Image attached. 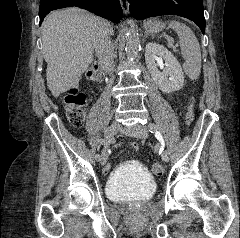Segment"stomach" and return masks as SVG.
Segmentation results:
<instances>
[{
    "mask_svg": "<svg viewBox=\"0 0 240 238\" xmlns=\"http://www.w3.org/2000/svg\"><path fill=\"white\" fill-rule=\"evenodd\" d=\"M146 32L157 33L164 28V25L160 21L148 20L144 23Z\"/></svg>",
    "mask_w": 240,
    "mask_h": 238,
    "instance_id": "stomach-1",
    "label": "stomach"
}]
</instances>
